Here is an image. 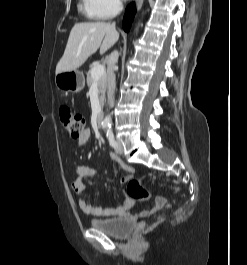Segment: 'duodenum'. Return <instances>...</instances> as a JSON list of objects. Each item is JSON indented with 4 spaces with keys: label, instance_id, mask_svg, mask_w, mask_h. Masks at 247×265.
Segmentation results:
<instances>
[{
    "label": "duodenum",
    "instance_id": "410a0bca",
    "mask_svg": "<svg viewBox=\"0 0 247 265\" xmlns=\"http://www.w3.org/2000/svg\"><path fill=\"white\" fill-rule=\"evenodd\" d=\"M96 123L98 127L103 126V114H99L96 118Z\"/></svg>",
    "mask_w": 247,
    "mask_h": 265
}]
</instances>
